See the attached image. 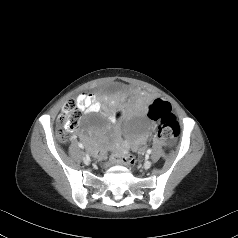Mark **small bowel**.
<instances>
[{
	"label": "small bowel",
	"instance_id": "obj_1",
	"mask_svg": "<svg viewBox=\"0 0 238 238\" xmlns=\"http://www.w3.org/2000/svg\"><path fill=\"white\" fill-rule=\"evenodd\" d=\"M77 103L80 106L81 110H84L86 113L97 112L101 109V103L93 94L82 93L77 97ZM151 105V104H150ZM149 105V106H150ZM148 114V108H147ZM144 140V136L139 137L134 140L133 145H136ZM129 147L128 143H124L121 147V151H124Z\"/></svg>",
	"mask_w": 238,
	"mask_h": 238
}]
</instances>
